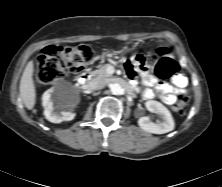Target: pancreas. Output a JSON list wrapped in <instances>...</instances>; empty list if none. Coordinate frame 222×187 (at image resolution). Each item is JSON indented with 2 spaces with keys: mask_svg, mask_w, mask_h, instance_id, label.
I'll list each match as a JSON object with an SVG mask.
<instances>
[{
  "mask_svg": "<svg viewBox=\"0 0 222 187\" xmlns=\"http://www.w3.org/2000/svg\"><path fill=\"white\" fill-rule=\"evenodd\" d=\"M110 66V64H105L103 66L100 67V69L95 70L93 72L94 75L101 77V78H110L111 75L107 73V68Z\"/></svg>",
  "mask_w": 222,
  "mask_h": 187,
  "instance_id": "1",
  "label": "pancreas"
}]
</instances>
